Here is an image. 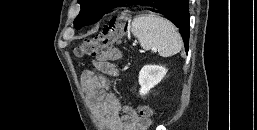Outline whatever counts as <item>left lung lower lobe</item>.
Wrapping results in <instances>:
<instances>
[{
	"label": "left lung lower lobe",
	"mask_w": 257,
	"mask_h": 130,
	"mask_svg": "<svg viewBox=\"0 0 257 130\" xmlns=\"http://www.w3.org/2000/svg\"><path fill=\"white\" fill-rule=\"evenodd\" d=\"M188 0H135L134 4L148 6L153 12L160 13L178 28L183 37L185 49L189 44V7Z\"/></svg>",
	"instance_id": "left-lung-lower-lobe-1"
}]
</instances>
